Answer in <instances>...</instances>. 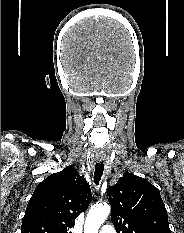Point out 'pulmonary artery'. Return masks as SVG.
I'll list each match as a JSON object with an SVG mask.
<instances>
[{
    "mask_svg": "<svg viewBox=\"0 0 184 233\" xmlns=\"http://www.w3.org/2000/svg\"><path fill=\"white\" fill-rule=\"evenodd\" d=\"M99 233H116V231L113 226L107 224L100 228Z\"/></svg>",
    "mask_w": 184,
    "mask_h": 233,
    "instance_id": "e3ab8cb5",
    "label": "pulmonary artery"
}]
</instances>
